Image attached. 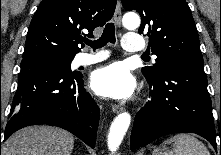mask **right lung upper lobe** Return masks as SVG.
Wrapping results in <instances>:
<instances>
[{
	"instance_id": "obj_1",
	"label": "right lung upper lobe",
	"mask_w": 221,
	"mask_h": 155,
	"mask_svg": "<svg viewBox=\"0 0 221 155\" xmlns=\"http://www.w3.org/2000/svg\"><path fill=\"white\" fill-rule=\"evenodd\" d=\"M117 0H42L29 26L23 57L55 54L73 57L80 51L83 31L110 20Z\"/></svg>"
}]
</instances>
